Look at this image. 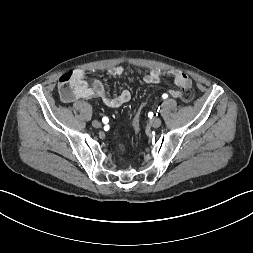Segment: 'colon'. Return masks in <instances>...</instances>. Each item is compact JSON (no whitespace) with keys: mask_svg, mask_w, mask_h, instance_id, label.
Segmentation results:
<instances>
[{"mask_svg":"<svg viewBox=\"0 0 253 253\" xmlns=\"http://www.w3.org/2000/svg\"><path fill=\"white\" fill-rule=\"evenodd\" d=\"M69 80V76L68 74H65L63 75L61 78H60V81L62 83V87L63 89L65 90L67 88V82ZM182 100L184 102H190L193 98V91L191 88H187L185 90H183L182 92ZM146 105H141V107H139V109L137 110L136 114H137V117L135 119V122H134V132L135 133H138L139 131V128H140V122H141V118H142V115L144 113V111L146 110Z\"/></svg>","mask_w":253,"mask_h":253,"instance_id":"colon-1","label":"colon"}]
</instances>
